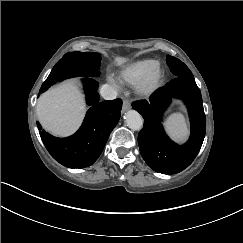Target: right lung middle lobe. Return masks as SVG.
<instances>
[{
  "mask_svg": "<svg viewBox=\"0 0 243 243\" xmlns=\"http://www.w3.org/2000/svg\"><path fill=\"white\" fill-rule=\"evenodd\" d=\"M101 55L94 52H69L53 67L48 78L42 84L40 93L54 83L77 76H97Z\"/></svg>",
  "mask_w": 243,
  "mask_h": 243,
  "instance_id": "dd1d6c3e",
  "label": "right lung middle lobe"
}]
</instances>
